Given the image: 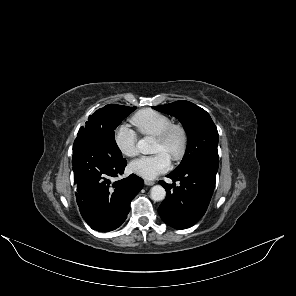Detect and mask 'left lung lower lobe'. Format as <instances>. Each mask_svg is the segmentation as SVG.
<instances>
[{
  "instance_id": "0a47b994",
  "label": "left lung lower lobe",
  "mask_w": 296,
  "mask_h": 296,
  "mask_svg": "<svg viewBox=\"0 0 296 296\" xmlns=\"http://www.w3.org/2000/svg\"><path fill=\"white\" fill-rule=\"evenodd\" d=\"M218 160H206L167 177L180 181V186L164 181L159 183L166 188L167 194L158 208L159 215L169 226L186 229L196 224L205 214L214 188Z\"/></svg>"
}]
</instances>
